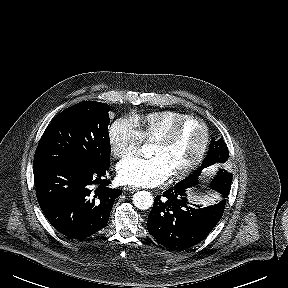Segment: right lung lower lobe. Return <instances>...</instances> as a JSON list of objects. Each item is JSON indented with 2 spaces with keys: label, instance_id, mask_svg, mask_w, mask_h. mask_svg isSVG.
I'll use <instances>...</instances> for the list:
<instances>
[{
  "label": "right lung lower lobe",
  "instance_id": "98d812e1",
  "mask_svg": "<svg viewBox=\"0 0 288 288\" xmlns=\"http://www.w3.org/2000/svg\"><path fill=\"white\" fill-rule=\"evenodd\" d=\"M109 164L83 170L65 165L34 168L38 203L63 235L83 239L104 228L121 190L109 188ZM95 186L94 189L92 187Z\"/></svg>",
  "mask_w": 288,
  "mask_h": 288
}]
</instances>
